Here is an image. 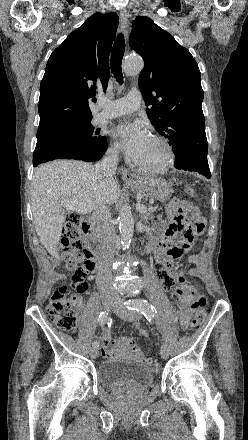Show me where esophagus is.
I'll return each mask as SVG.
<instances>
[{"label": "esophagus", "instance_id": "34e87169", "mask_svg": "<svg viewBox=\"0 0 248 440\" xmlns=\"http://www.w3.org/2000/svg\"><path fill=\"white\" fill-rule=\"evenodd\" d=\"M120 29L124 34L125 40H127L128 37V24H129V14L126 10L120 11ZM121 176L124 180H132L134 178V175L129 169H126L122 167L120 169Z\"/></svg>", "mask_w": 248, "mask_h": 440}]
</instances>
